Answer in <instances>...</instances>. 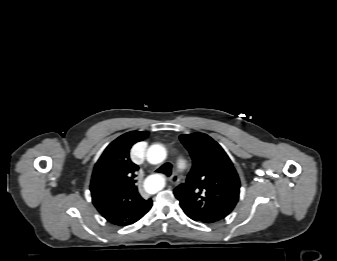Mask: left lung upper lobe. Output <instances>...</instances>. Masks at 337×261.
<instances>
[{
	"instance_id": "obj_1",
	"label": "left lung upper lobe",
	"mask_w": 337,
	"mask_h": 261,
	"mask_svg": "<svg viewBox=\"0 0 337 261\" xmlns=\"http://www.w3.org/2000/svg\"><path fill=\"white\" fill-rule=\"evenodd\" d=\"M180 140L193 160L186 182L174 190L181 208L203 223L225 218L239 199L240 181L231 160L206 134L181 135Z\"/></svg>"
}]
</instances>
